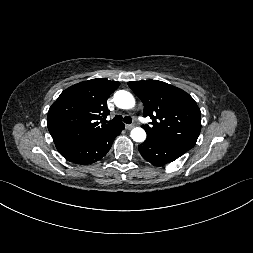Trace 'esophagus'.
<instances>
[{
    "label": "esophagus",
    "mask_w": 253,
    "mask_h": 253,
    "mask_svg": "<svg viewBox=\"0 0 253 253\" xmlns=\"http://www.w3.org/2000/svg\"><path fill=\"white\" fill-rule=\"evenodd\" d=\"M125 128L127 130H131L132 128H134V125L133 124H127V125H125Z\"/></svg>",
    "instance_id": "1"
}]
</instances>
